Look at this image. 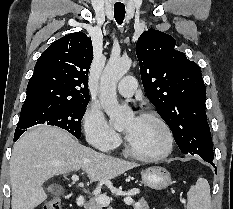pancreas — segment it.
<instances>
[{
    "label": "pancreas",
    "instance_id": "pancreas-1",
    "mask_svg": "<svg viewBox=\"0 0 233 209\" xmlns=\"http://www.w3.org/2000/svg\"><path fill=\"white\" fill-rule=\"evenodd\" d=\"M134 209H149L148 203L144 198H141L137 203L133 204ZM85 209H103V206L98 204L95 198H91L85 205Z\"/></svg>",
    "mask_w": 233,
    "mask_h": 209
}]
</instances>
